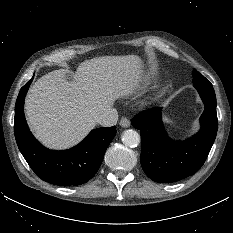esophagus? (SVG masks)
Wrapping results in <instances>:
<instances>
[{
    "instance_id": "34e87169",
    "label": "esophagus",
    "mask_w": 233,
    "mask_h": 233,
    "mask_svg": "<svg viewBox=\"0 0 233 233\" xmlns=\"http://www.w3.org/2000/svg\"><path fill=\"white\" fill-rule=\"evenodd\" d=\"M120 126L123 127V128H128L130 127V120L126 117H123L121 120H120Z\"/></svg>"
}]
</instances>
